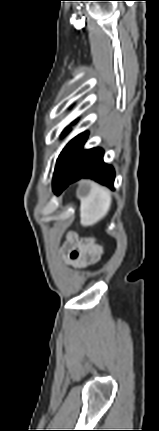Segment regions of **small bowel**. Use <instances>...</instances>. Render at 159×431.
<instances>
[{"label": "small bowel", "mask_w": 159, "mask_h": 431, "mask_svg": "<svg viewBox=\"0 0 159 431\" xmlns=\"http://www.w3.org/2000/svg\"><path fill=\"white\" fill-rule=\"evenodd\" d=\"M70 249L67 255V261L70 265L77 268H85L96 263L102 253V245L104 238L97 236L95 242L92 240H82L71 234L68 237Z\"/></svg>", "instance_id": "c3829d8e"}]
</instances>
